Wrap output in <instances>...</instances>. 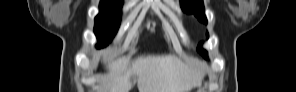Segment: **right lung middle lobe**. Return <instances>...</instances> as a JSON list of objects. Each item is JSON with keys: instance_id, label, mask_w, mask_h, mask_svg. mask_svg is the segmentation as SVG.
Here are the masks:
<instances>
[{"instance_id": "dd1d6c3e", "label": "right lung middle lobe", "mask_w": 296, "mask_h": 92, "mask_svg": "<svg viewBox=\"0 0 296 92\" xmlns=\"http://www.w3.org/2000/svg\"><path fill=\"white\" fill-rule=\"evenodd\" d=\"M123 0H101L100 13L95 18L94 33L98 38V45L109 43L120 26V15Z\"/></svg>"}]
</instances>
